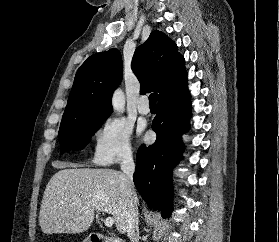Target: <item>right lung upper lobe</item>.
Returning <instances> with one entry per match:
<instances>
[{"label":"right lung upper lobe","mask_w":279,"mask_h":242,"mask_svg":"<svg viewBox=\"0 0 279 242\" xmlns=\"http://www.w3.org/2000/svg\"><path fill=\"white\" fill-rule=\"evenodd\" d=\"M131 68L142 83L140 91H157L158 101L187 86L184 58L161 31H153L136 49ZM122 73L117 49L90 56L76 73L60 126L94 117L107 118L112 112V93L121 83Z\"/></svg>","instance_id":"1"}]
</instances>
